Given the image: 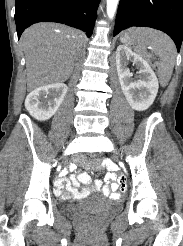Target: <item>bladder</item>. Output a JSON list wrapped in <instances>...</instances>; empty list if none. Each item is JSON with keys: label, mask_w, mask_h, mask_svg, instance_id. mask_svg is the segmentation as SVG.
Masks as SVG:
<instances>
[{"label": "bladder", "mask_w": 183, "mask_h": 246, "mask_svg": "<svg viewBox=\"0 0 183 246\" xmlns=\"http://www.w3.org/2000/svg\"><path fill=\"white\" fill-rule=\"evenodd\" d=\"M81 208H82L81 205H74V206H69V207H67V208L65 209V211H66L67 213H70V214H75V213H77L78 211H80Z\"/></svg>", "instance_id": "31cf9c89"}]
</instances>
